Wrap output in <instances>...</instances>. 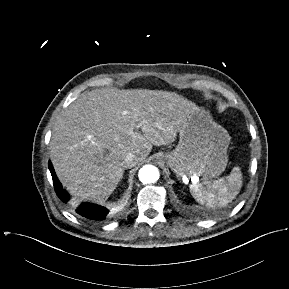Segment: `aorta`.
Instances as JSON below:
<instances>
[{
    "label": "aorta",
    "mask_w": 289,
    "mask_h": 289,
    "mask_svg": "<svg viewBox=\"0 0 289 289\" xmlns=\"http://www.w3.org/2000/svg\"><path fill=\"white\" fill-rule=\"evenodd\" d=\"M138 177L143 184L154 183L159 179V170L153 165H145L139 170Z\"/></svg>",
    "instance_id": "762f6f07"
}]
</instances>
